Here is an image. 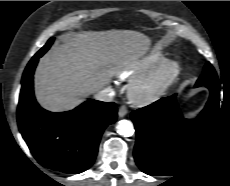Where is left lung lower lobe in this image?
Segmentation results:
<instances>
[{"mask_svg":"<svg viewBox=\"0 0 230 186\" xmlns=\"http://www.w3.org/2000/svg\"><path fill=\"white\" fill-rule=\"evenodd\" d=\"M210 97L199 118L182 117L176 95L132 112L137 140L134 158L148 175H173L202 147L220 111L219 84H209Z\"/></svg>","mask_w":230,"mask_h":186,"instance_id":"0a47b994","label":"left lung lower lobe"}]
</instances>
